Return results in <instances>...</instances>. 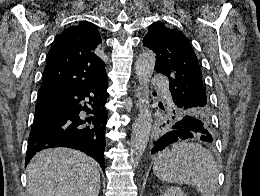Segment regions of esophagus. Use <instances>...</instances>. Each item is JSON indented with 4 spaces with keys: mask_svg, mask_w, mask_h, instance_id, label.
I'll return each mask as SVG.
<instances>
[{
    "mask_svg": "<svg viewBox=\"0 0 260 196\" xmlns=\"http://www.w3.org/2000/svg\"><path fill=\"white\" fill-rule=\"evenodd\" d=\"M135 96L137 97L136 101V108L140 107V102H141V87L138 86L135 90Z\"/></svg>",
    "mask_w": 260,
    "mask_h": 196,
    "instance_id": "obj_1",
    "label": "esophagus"
}]
</instances>
